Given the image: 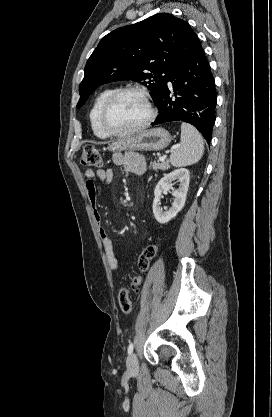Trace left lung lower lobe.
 Returning <instances> with one entry per match:
<instances>
[{
	"mask_svg": "<svg viewBox=\"0 0 272 417\" xmlns=\"http://www.w3.org/2000/svg\"><path fill=\"white\" fill-rule=\"evenodd\" d=\"M173 92L175 98L172 97ZM216 97L214 78L201 47L170 74L156 104L160 113L152 125L170 121L187 122L195 126L210 143L215 123Z\"/></svg>",
	"mask_w": 272,
	"mask_h": 417,
	"instance_id": "0a47b994",
	"label": "left lung lower lobe"
}]
</instances>
